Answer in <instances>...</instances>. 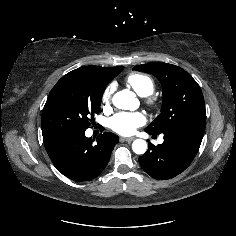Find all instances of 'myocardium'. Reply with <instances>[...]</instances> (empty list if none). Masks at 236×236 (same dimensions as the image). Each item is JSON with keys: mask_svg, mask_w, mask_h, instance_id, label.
<instances>
[{"mask_svg": "<svg viewBox=\"0 0 236 236\" xmlns=\"http://www.w3.org/2000/svg\"><path fill=\"white\" fill-rule=\"evenodd\" d=\"M145 102L149 107H151L153 109L157 108L158 103H159L158 99L155 96H152V95L146 96Z\"/></svg>", "mask_w": 236, "mask_h": 236, "instance_id": "1", "label": "myocardium"}]
</instances>
